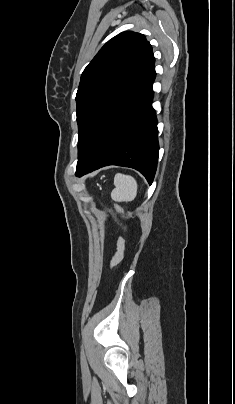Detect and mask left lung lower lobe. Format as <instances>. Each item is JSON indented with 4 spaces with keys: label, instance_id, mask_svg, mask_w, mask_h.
<instances>
[{
    "label": "left lung lower lobe",
    "instance_id": "0a47b994",
    "mask_svg": "<svg viewBox=\"0 0 235 404\" xmlns=\"http://www.w3.org/2000/svg\"><path fill=\"white\" fill-rule=\"evenodd\" d=\"M154 72L104 122L78 159L76 176L107 165L131 167L151 184L159 154L155 111L151 106Z\"/></svg>",
    "mask_w": 235,
    "mask_h": 404
}]
</instances>
